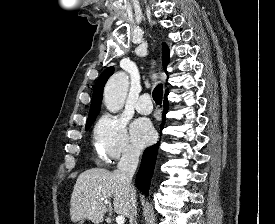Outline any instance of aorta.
<instances>
[{"instance_id":"aorta-1","label":"aorta","mask_w":275,"mask_h":224,"mask_svg":"<svg viewBox=\"0 0 275 224\" xmlns=\"http://www.w3.org/2000/svg\"><path fill=\"white\" fill-rule=\"evenodd\" d=\"M128 88L129 78L125 72H118L108 80L104 89V103L110 112L117 113L123 108Z\"/></svg>"}]
</instances>
